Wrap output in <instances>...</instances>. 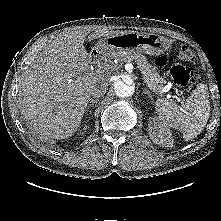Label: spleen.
I'll return each mask as SVG.
<instances>
[{
    "label": "spleen",
    "instance_id": "3e777b00",
    "mask_svg": "<svg viewBox=\"0 0 221 221\" xmlns=\"http://www.w3.org/2000/svg\"><path fill=\"white\" fill-rule=\"evenodd\" d=\"M156 111L166 126L178 129L184 139L191 140L202 132L210 116L207 86L200 84L181 107L173 101L159 99Z\"/></svg>",
    "mask_w": 221,
    "mask_h": 221
}]
</instances>
